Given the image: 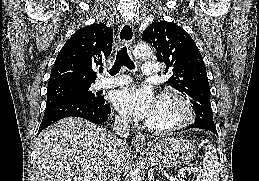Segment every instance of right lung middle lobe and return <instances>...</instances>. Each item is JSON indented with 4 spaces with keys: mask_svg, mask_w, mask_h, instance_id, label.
Segmentation results:
<instances>
[{
    "mask_svg": "<svg viewBox=\"0 0 259 181\" xmlns=\"http://www.w3.org/2000/svg\"><path fill=\"white\" fill-rule=\"evenodd\" d=\"M92 84L61 83L48 86L46 108L63 100L99 102L102 97L90 91Z\"/></svg>",
    "mask_w": 259,
    "mask_h": 181,
    "instance_id": "1",
    "label": "right lung middle lobe"
}]
</instances>
